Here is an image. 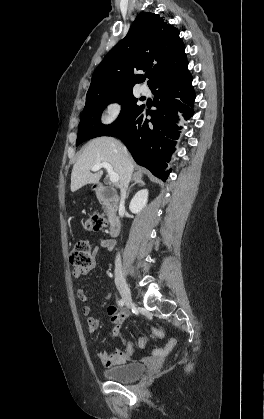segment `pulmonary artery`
Masks as SVG:
<instances>
[{
    "instance_id": "1",
    "label": "pulmonary artery",
    "mask_w": 264,
    "mask_h": 419,
    "mask_svg": "<svg viewBox=\"0 0 264 419\" xmlns=\"http://www.w3.org/2000/svg\"><path fill=\"white\" fill-rule=\"evenodd\" d=\"M140 91H141V93H142V94H144V95H147V94L149 93V89H148V87H147L146 85H142V86L140 87Z\"/></svg>"
}]
</instances>
